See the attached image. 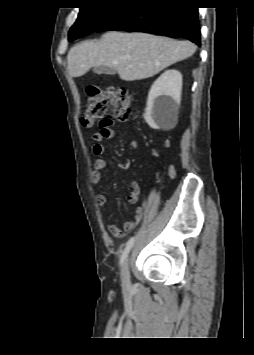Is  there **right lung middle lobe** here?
I'll return each mask as SVG.
<instances>
[{
  "mask_svg": "<svg viewBox=\"0 0 254 355\" xmlns=\"http://www.w3.org/2000/svg\"><path fill=\"white\" fill-rule=\"evenodd\" d=\"M122 4L115 0H96L81 7L78 18L69 31V41L96 31Z\"/></svg>",
  "mask_w": 254,
  "mask_h": 355,
  "instance_id": "1",
  "label": "right lung middle lobe"
}]
</instances>
